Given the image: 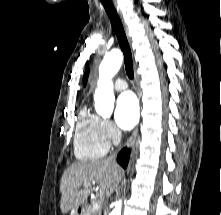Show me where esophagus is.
<instances>
[{
	"instance_id": "esophagus-1",
	"label": "esophagus",
	"mask_w": 221,
	"mask_h": 215,
	"mask_svg": "<svg viewBox=\"0 0 221 215\" xmlns=\"http://www.w3.org/2000/svg\"><path fill=\"white\" fill-rule=\"evenodd\" d=\"M114 5H115V7H116V10H117V12H118V14H119L121 20H122L125 33H126L127 38H128V40H129V42H130L131 39H130L129 31H128V26H127L126 21L124 20V17H123L121 8H120L119 4L116 2V0H114ZM134 82H135V84L137 85L138 77H137L136 71L134 72ZM137 134H138V128L134 131L132 137H131L130 140L128 141V143H127V148H129V147L134 143V141H135V139H136V137H137Z\"/></svg>"
}]
</instances>
